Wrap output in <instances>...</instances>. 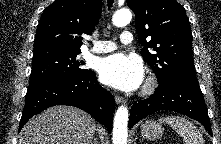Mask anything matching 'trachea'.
I'll list each match as a JSON object with an SVG mask.
<instances>
[{
  "instance_id": "3493384b",
  "label": "trachea",
  "mask_w": 221,
  "mask_h": 144,
  "mask_svg": "<svg viewBox=\"0 0 221 144\" xmlns=\"http://www.w3.org/2000/svg\"><path fill=\"white\" fill-rule=\"evenodd\" d=\"M114 0H108V7H112V4H113Z\"/></svg>"
}]
</instances>
